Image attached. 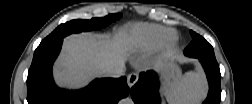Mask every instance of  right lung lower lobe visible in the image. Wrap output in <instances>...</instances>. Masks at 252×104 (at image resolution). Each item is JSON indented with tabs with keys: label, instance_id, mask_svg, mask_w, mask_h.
Here are the masks:
<instances>
[{
	"label": "right lung lower lobe",
	"instance_id": "1",
	"mask_svg": "<svg viewBox=\"0 0 252 104\" xmlns=\"http://www.w3.org/2000/svg\"><path fill=\"white\" fill-rule=\"evenodd\" d=\"M62 40L39 45L27 77L28 104H116L128 96L126 77L96 79L77 91L58 88L52 77V66L57 58Z\"/></svg>",
	"mask_w": 252,
	"mask_h": 104
}]
</instances>
